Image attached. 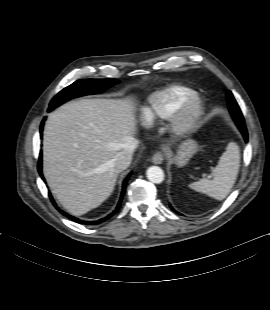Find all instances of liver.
Returning <instances> with one entry per match:
<instances>
[{
  "label": "liver",
  "instance_id": "liver-1",
  "mask_svg": "<svg viewBox=\"0 0 270 310\" xmlns=\"http://www.w3.org/2000/svg\"><path fill=\"white\" fill-rule=\"evenodd\" d=\"M136 103L81 99L65 103L46 121L43 171L52 193L72 215L101 205L113 192V159L137 132Z\"/></svg>",
  "mask_w": 270,
  "mask_h": 310
}]
</instances>
